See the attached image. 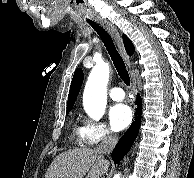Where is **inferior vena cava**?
I'll return each instance as SVG.
<instances>
[{
    "mask_svg": "<svg viewBox=\"0 0 194 178\" xmlns=\"http://www.w3.org/2000/svg\"><path fill=\"white\" fill-rule=\"evenodd\" d=\"M118 137L112 132H107V135L102 139V142L97 146L96 151L103 157L104 154H109L113 151Z\"/></svg>",
    "mask_w": 194,
    "mask_h": 178,
    "instance_id": "inferior-vena-cava-1",
    "label": "inferior vena cava"
}]
</instances>
